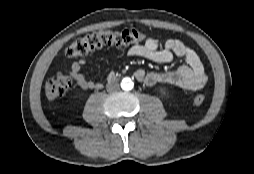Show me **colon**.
Returning a JSON list of instances; mask_svg holds the SVG:
<instances>
[{
	"instance_id": "5ec220e1",
	"label": "colon",
	"mask_w": 254,
	"mask_h": 174,
	"mask_svg": "<svg viewBox=\"0 0 254 174\" xmlns=\"http://www.w3.org/2000/svg\"><path fill=\"white\" fill-rule=\"evenodd\" d=\"M144 35L135 28L122 30H101L87 34L74 41L67 49L66 55L71 58H78L87 55L103 45H127L142 41ZM72 80L65 74H58L49 79L44 87L45 95L50 101L62 97L71 87ZM205 101V95L194 96L195 105H201Z\"/></svg>"
}]
</instances>
